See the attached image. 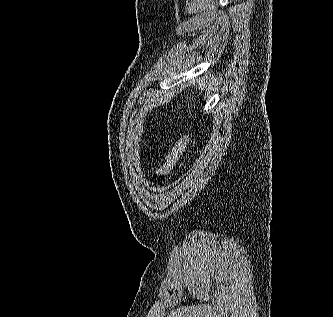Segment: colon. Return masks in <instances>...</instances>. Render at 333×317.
<instances>
[{
    "label": "colon",
    "mask_w": 333,
    "mask_h": 317,
    "mask_svg": "<svg viewBox=\"0 0 333 317\" xmlns=\"http://www.w3.org/2000/svg\"><path fill=\"white\" fill-rule=\"evenodd\" d=\"M189 142L188 135H182L174 143L173 147L169 151L165 162L155 169V175L158 178L166 177L172 169L175 167L178 159L186 150V147Z\"/></svg>",
    "instance_id": "obj_1"
}]
</instances>
